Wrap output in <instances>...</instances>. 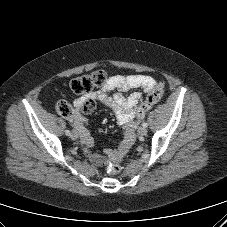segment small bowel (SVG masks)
Returning a JSON list of instances; mask_svg holds the SVG:
<instances>
[{"mask_svg": "<svg viewBox=\"0 0 227 227\" xmlns=\"http://www.w3.org/2000/svg\"><path fill=\"white\" fill-rule=\"evenodd\" d=\"M156 81L148 75H114L107 79V82L97 93L77 98L74 102L75 110L69 118L78 132L83 151L95 165H105L110 160L121 158L131 147L134 140V125L138 121L136 113L139 104L143 100L141 92H134L125 95V92L131 89H141L145 93H150ZM111 91H117L113 96H108ZM101 105L110 108L117 120V123L123 128V135L116 149H109L104 154H98L93 151V137L87 128L88 120L85 114L92 113L97 101Z\"/></svg>", "mask_w": 227, "mask_h": 227, "instance_id": "c3829d8e", "label": "small bowel"}]
</instances>
